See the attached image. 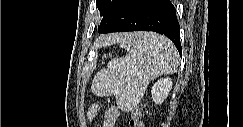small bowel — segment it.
I'll use <instances>...</instances> for the list:
<instances>
[{
	"label": "small bowel",
	"instance_id": "1",
	"mask_svg": "<svg viewBox=\"0 0 243 127\" xmlns=\"http://www.w3.org/2000/svg\"><path fill=\"white\" fill-rule=\"evenodd\" d=\"M100 110V107L98 104H93L87 112V118L91 121L93 120ZM120 116V110L116 106H111L108 108V110L105 112V120H104V127H115L117 120Z\"/></svg>",
	"mask_w": 243,
	"mask_h": 127
}]
</instances>
